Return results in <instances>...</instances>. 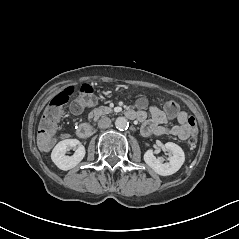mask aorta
<instances>
[{"label":"aorta","mask_w":239,"mask_h":239,"mask_svg":"<svg viewBox=\"0 0 239 239\" xmlns=\"http://www.w3.org/2000/svg\"><path fill=\"white\" fill-rule=\"evenodd\" d=\"M115 126L119 130H125L128 128V121L125 117H118L115 121Z\"/></svg>","instance_id":"aorta-1"}]
</instances>
